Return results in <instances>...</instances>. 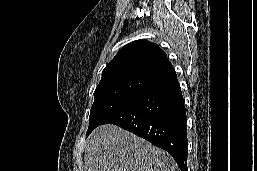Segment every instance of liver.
Here are the masks:
<instances>
[{"label":"liver","mask_w":257,"mask_h":171,"mask_svg":"<svg viewBox=\"0 0 257 171\" xmlns=\"http://www.w3.org/2000/svg\"><path fill=\"white\" fill-rule=\"evenodd\" d=\"M84 162L85 171H179L170 154L111 124L88 137Z\"/></svg>","instance_id":"1"}]
</instances>
